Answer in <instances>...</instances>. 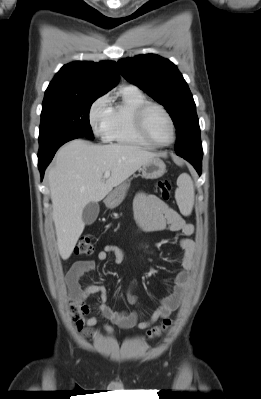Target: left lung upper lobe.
<instances>
[{
    "label": "left lung upper lobe",
    "instance_id": "left-lung-upper-lobe-1",
    "mask_svg": "<svg viewBox=\"0 0 261 399\" xmlns=\"http://www.w3.org/2000/svg\"><path fill=\"white\" fill-rule=\"evenodd\" d=\"M118 67L125 79L166 107L177 130L176 153L203 155L195 102L177 67L155 54L122 59Z\"/></svg>",
    "mask_w": 261,
    "mask_h": 399
}]
</instances>
